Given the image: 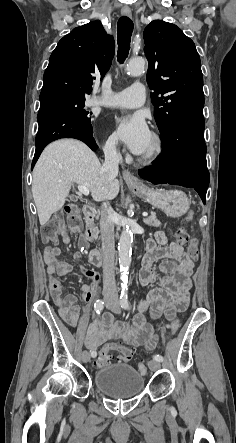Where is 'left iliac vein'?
Instances as JSON below:
<instances>
[{
	"label": "left iliac vein",
	"mask_w": 236,
	"mask_h": 443,
	"mask_svg": "<svg viewBox=\"0 0 236 443\" xmlns=\"http://www.w3.org/2000/svg\"><path fill=\"white\" fill-rule=\"evenodd\" d=\"M110 309L115 314L121 313V309L118 305H113ZM148 366H149L150 370L156 371L160 368L161 365H160V362H158L156 360H152V361H149Z\"/></svg>",
	"instance_id": "1"
}]
</instances>
